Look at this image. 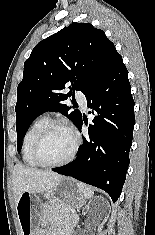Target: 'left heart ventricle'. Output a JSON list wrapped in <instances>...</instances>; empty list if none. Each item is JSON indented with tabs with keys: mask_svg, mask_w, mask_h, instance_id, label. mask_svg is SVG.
I'll return each instance as SVG.
<instances>
[{
	"mask_svg": "<svg viewBox=\"0 0 155 235\" xmlns=\"http://www.w3.org/2000/svg\"><path fill=\"white\" fill-rule=\"evenodd\" d=\"M73 147V137L64 128H54L49 132L40 148V157L45 162L54 163L65 159Z\"/></svg>",
	"mask_w": 155,
	"mask_h": 235,
	"instance_id": "left-heart-ventricle-1",
	"label": "left heart ventricle"
}]
</instances>
